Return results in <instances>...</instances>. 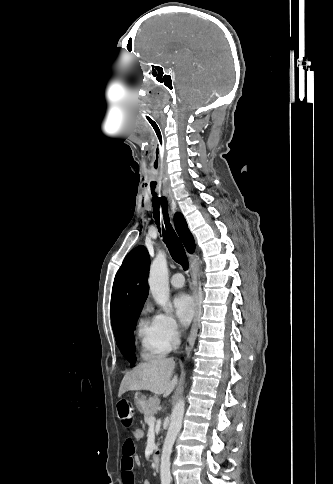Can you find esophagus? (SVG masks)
Returning a JSON list of instances; mask_svg holds the SVG:
<instances>
[{
    "instance_id": "esophagus-1",
    "label": "esophagus",
    "mask_w": 333,
    "mask_h": 484,
    "mask_svg": "<svg viewBox=\"0 0 333 484\" xmlns=\"http://www.w3.org/2000/svg\"><path fill=\"white\" fill-rule=\"evenodd\" d=\"M168 200H169L171 210L173 212L176 211L177 202L172 194L168 196ZM190 274L193 282L192 297H193V302L195 307V314H194V319L191 326L190 334L188 337V346L186 348L187 353H189L190 349L193 347L195 343L197 332H198V322L200 317V304H199V295H198V269H197V264L195 263V255H191Z\"/></svg>"
}]
</instances>
